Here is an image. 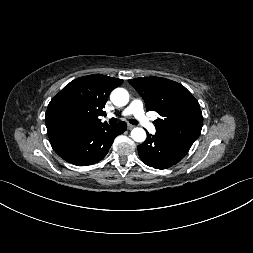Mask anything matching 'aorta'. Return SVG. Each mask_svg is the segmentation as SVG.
<instances>
[{
    "mask_svg": "<svg viewBox=\"0 0 253 253\" xmlns=\"http://www.w3.org/2000/svg\"><path fill=\"white\" fill-rule=\"evenodd\" d=\"M110 99L116 106H125L129 102V93L124 88H116L112 91ZM131 138L136 142H144L146 132L143 128L136 127L131 131Z\"/></svg>",
    "mask_w": 253,
    "mask_h": 253,
    "instance_id": "obj_1",
    "label": "aorta"
}]
</instances>
